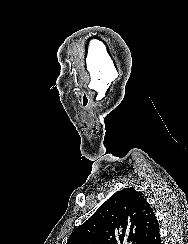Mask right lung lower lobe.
Instances as JSON below:
<instances>
[{"instance_id":"98d812e1","label":"right lung lower lobe","mask_w":188,"mask_h":244,"mask_svg":"<svg viewBox=\"0 0 188 244\" xmlns=\"http://www.w3.org/2000/svg\"><path fill=\"white\" fill-rule=\"evenodd\" d=\"M145 244H161L160 235H159V226H157L151 233Z\"/></svg>"}]
</instances>
